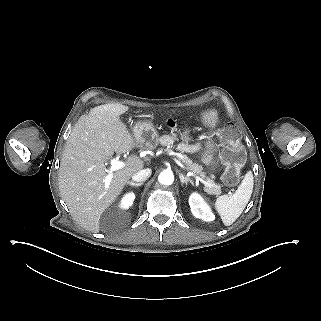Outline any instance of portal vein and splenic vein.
Returning <instances> with one entry per match:
<instances>
[{"label":"portal vein and splenic vein","mask_w":321,"mask_h":321,"mask_svg":"<svg viewBox=\"0 0 321 321\" xmlns=\"http://www.w3.org/2000/svg\"><path fill=\"white\" fill-rule=\"evenodd\" d=\"M174 162H177V164H179V166H181L182 169H185V166L182 165V163H180V161H177V159H174ZM122 167H123V163L118 161L116 158H112L110 160V167L107 169L108 174L104 178L105 192L103 193V195L107 194V192L109 191L110 183H111V180L114 176V172L118 171ZM196 180L200 181L203 184V186H206V181H204L202 178H199V176H196ZM208 187H211V186H208Z\"/></svg>","instance_id":"1"}]
</instances>
